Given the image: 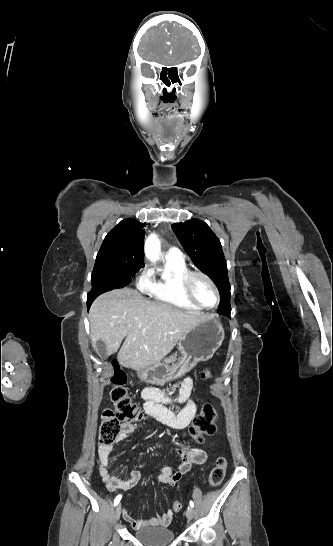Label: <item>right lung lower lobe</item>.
I'll list each match as a JSON object with an SVG mask.
<instances>
[{"label":"right lung lower lobe","mask_w":333,"mask_h":546,"mask_svg":"<svg viewBox=\"0 0 333 546\" xmlns=\"http://www.w3.org/2000/svg\"><path fill=\"white\" fill-rule=\"evenodd\" d=\"M93 302V299L89 298L88 295H87V306H88V309L91 305V303Z\"/></svg>","instance_id":"right-lung-lower-lobe-1"}]
</instances>
